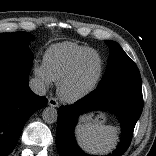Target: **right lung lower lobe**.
I'll list each match as a JSON object with an SVG mask.
<instances>
[{
	"label": "right lung lower lobe",
	"mask_w": 156,
	"mask_h": 156,
	"mask_svg": "<svg viewBox=\"0 0 156 156\" xmlns=\"http://www.w3.org/2000/svg\"><path fill=\"white\" fill-rule=\"evenodd\" d=\"M30 67L0 61V156L15 147L29 117L47 104L29 88Z\"/></svg>",
	"instance_id": "obj_1"
}]
</instances>
